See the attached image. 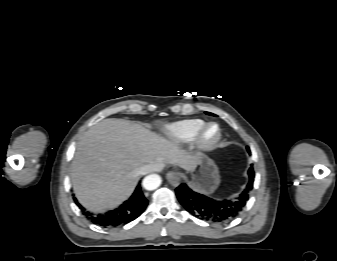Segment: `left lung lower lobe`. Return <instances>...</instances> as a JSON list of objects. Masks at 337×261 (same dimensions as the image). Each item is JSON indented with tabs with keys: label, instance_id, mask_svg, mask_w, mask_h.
<instances>
[{
	"label": "left lung lower lobe",
	"instance_id": "left-lung-lower-lobe-1",
	"mask_svg": "<svg viewBox=\"0 0 337 261\" xmlns=\"http://www.w3.org/2000/svg\"><path fill=\"white\" fill-rule=\"evenodd\" d=\"M249 182L238 197L225 200H214L192 191L186 184L176 188V195L183 207L193 216L206 221L228 222L237 217L246 206L253 188L254 170L248 171Z\"/></svg>",
	"mask_w": 337,
	"mask_h": 261
}]
</instances>
